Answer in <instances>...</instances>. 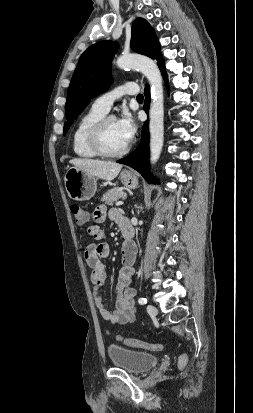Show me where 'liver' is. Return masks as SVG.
<instances>
[{
  "instance_id": "liver-1",
  "label": "liver",
  "mask_w": 253,
  "mask_h": 413,
  "mask_svg": "<svg viewBox=\"0 0 253 413\" xmlns=\"http://www.w3.org/2000/svg\"><path fill=\"white\" fill-rule=\"evenodd\" d=\"M69 163L103 180H113L122 169V165L115 162L88 158H75L70 160Z\"/></svg>"
}]
</instances>
